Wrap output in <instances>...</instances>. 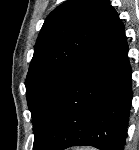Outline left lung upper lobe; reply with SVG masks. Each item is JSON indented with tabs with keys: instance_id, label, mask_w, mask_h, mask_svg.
<instances>
[{
	"instance_id": "obj_1",
	"label": "left lung upper lobe",
	"mask_w": 139,
	"mask_h": 150,
	"mask_svg": "<svg viewBox=\"0 0 139 150\" xmlns=\"http://www.w3.org/2000/svg\"><path fill=\"white\" fill-rule=\"evenodd\" d=\"M111 8L109 0H68L46 18L25 81L34 143L47 124L48 112L57 94Z\"/></svg>"
}]
</instances>
